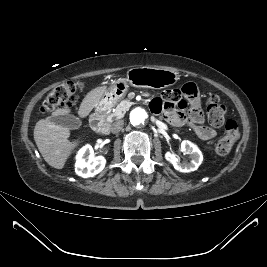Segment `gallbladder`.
<instances>
[{
  "label": "gallbladder",
  "instance_id": "bac80fb5",
  "mask_svg": "<svg viewBox=\"0 0 267 267\" xmlns=\"http://www.w3.org/2000/svg\"><path fill=\"white\" fill-rule=\"evenodd\" d=\"M51 121L57 125L66 127L68 129H71V130L78 129L82 125L81 119L72 115V114L55 116V117L51 118Z\"/></svg>",
  "mask_w": 267,
  "mask_h": 267
}]
</instances>
